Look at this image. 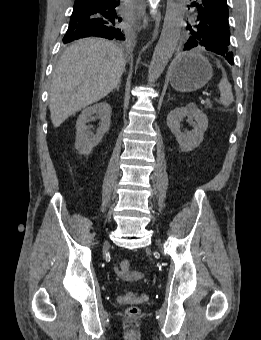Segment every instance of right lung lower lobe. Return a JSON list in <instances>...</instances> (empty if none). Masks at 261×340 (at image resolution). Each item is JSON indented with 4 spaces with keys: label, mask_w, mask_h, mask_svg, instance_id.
Wrapping results in <instances>:
<instances>
[{
    "label": "right lung lower lobe",
    "mask_w": 261,
    "mask_h": 340,
    "mask_svg": "<svg viewBox=\"0 0 261 340\" xmlns=\"http://www.w3.org/2000/svg\"><path fill=\"white\" fill-rule=\"evenodd\" d=\"M125 3L124 0H75L66 34L117 39L113 35L116 31L115 25L121 22L127 13Z\"/></svg>",
    "instance_id": "98d812e1"
}]
</instances>
